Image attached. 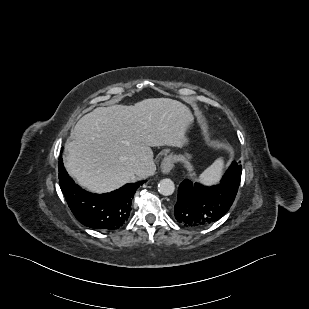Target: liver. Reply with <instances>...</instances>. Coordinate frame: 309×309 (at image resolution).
I'll return each mask as SVG.
<instances>
[{"label":"liver","mask_w":309,"mask_h":309,"mask_svg":"<svg viewBox=\"0 0 309 309\" xmlns=\"http://www.w3.org/2000/svg\"><path fill=\"white\" fill-rule=\"evenodd\" d=\"M187 106L169 98H150L135 105L98 107L75 125L65 145V167L91 192H110L156 171L151 147H182L192 124ZM134 160L142 172L134 171Z\"/></svg>","instance_id":"6515ba94"}]
</instances>
